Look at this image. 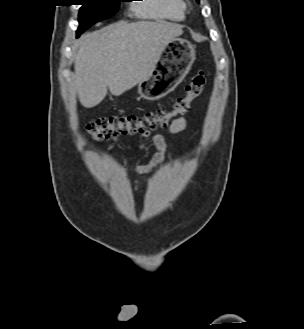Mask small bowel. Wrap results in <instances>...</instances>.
Masks as SVG:
<instances>
[{
  "label": "small bowel",
  "instance_id": "c3829d8e",
  "mask_svg": "<svg viewBox=\"0 0 304 329\" xmlns=\"http://www.w3.org/2000/svg\"><path fill=\"white\" fill-rule=\"evenodd\" d=\"M188 126L187 119L185 117H177L175 118L170 125L167 128L168 134H178L182 131H184ZM194 134V133H193ZM192 134V135H193ZM147 137H151L153 145L156 149V153L154 154L151 162L147 165H141V166H136V167H130L128 165H125L123 167L125 172H131L140 176H145L149 172H151L153 169L158 167L165 159V151L167 148V143L165 140V136L163 134H154L150 135L147 134L145 135ZM118 138L116 136H112L109 140L110 141H116ZM143 181H146L144 178ZM137 185L140 186L141 182L140 181H135Z\"/></svg>",
  "mask_w": 304,
  "mask_h": 329
}]
</instances>
